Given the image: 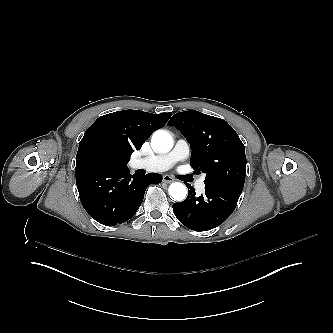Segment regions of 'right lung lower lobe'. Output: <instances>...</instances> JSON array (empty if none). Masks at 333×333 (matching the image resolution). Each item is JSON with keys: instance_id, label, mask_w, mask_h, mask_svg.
I'll return each mask as SVG.
<instances>
[{"instance_id": "1", "label": "right lung lower lobe", "mask_w": 333, "mask_h": 333, "mask_svg": "<svg viewBox=\"0 0 333 333\" xmlns=\"http://www.w3.org/2000/svg\"><path fill=\"white\" fill-rule=\"evenodd\" d=\"M161 181L162 176L156 173L132 177L127 166L76 168V185L84 209L106 226L129 220L140 207L147 186Z\"/></svg>"}]
</instances>
